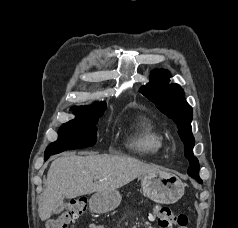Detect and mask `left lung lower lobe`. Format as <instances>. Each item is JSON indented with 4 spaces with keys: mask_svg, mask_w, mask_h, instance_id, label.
I'll return each mask as SVG.
<instances>
[{
    "mask_svg": "<svg viewBox=\"0 0 238 228\" xmlns=\"http://www.w3.org/2000/svg\"><path fill=\"white\" fill-rule=\"evenodd\" d=\"M192 178H194V177H192ZM194 179H196L197 181H199V183H202V180H201L200 178H194Z\"/></svg>",
    "mask_w": 238,
    "mask_h": 228,
    "instance_id": "1",
    "label": "left lung lower lobe"
}]
</instances>
